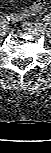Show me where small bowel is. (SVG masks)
Listing matches in <instances>:
<instances>
[{"mask_svg": "<svg viewBox=\"0 0 51 153\" xmlns=\"http://www.w3.org/2000/svg\"><path fill=\"white\" fill-rule=\"evenodd\" d=\"M44 6H45L44 0H40V1L35 0L30 6L18 12L9 14L8 18L11 22L21 21L41 11Z\"/></svg>", "mask_w": 51, "mask_h": 153, "instance_id": "1", "label": "small bowel"}]
</instances>
